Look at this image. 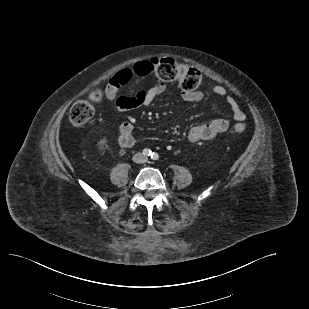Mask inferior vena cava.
I'll return each mask as SVG.
<instances>
[{"label": "inferior vena cava", "instance_id": "obj_1", "mask_svg": "<svg viewBox=\"0 0 309 309\" xmlns=\"http://www.w3.org/2000/svg\"><path fill=\"white\" fill-rule=\"evenodd\" d=\"M134 161L137 163H143L146 161V157H144L141 153H137L133 157Z\"/></svg>", "mask_w": 309, "mask_h": 309}]
</instances>
